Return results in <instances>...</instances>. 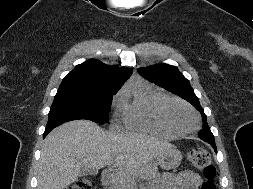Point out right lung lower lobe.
<instances>
[{"label": "right lung lower lobe", "mask_w": 253, "mask_h": 189, "mask_svg": "<svg viewBox=\"0 0 253 189\" xmlns=\"http://www.w3.org/2000/svg\"><path fill=\"white\" fill-rule=\"evenodd\" d=\"M60 124H56V125H51V126H47L45 129V132L43 134V137H45L49 132H51L55 127H57Z\"/></svg>", "instance_id": "98d812e1"}]
</instances>
